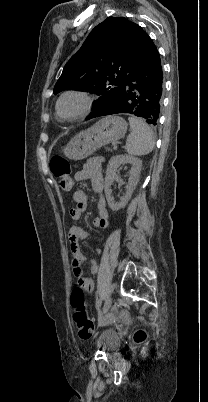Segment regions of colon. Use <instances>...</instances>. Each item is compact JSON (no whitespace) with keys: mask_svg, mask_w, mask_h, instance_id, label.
<instances>
[{"mask_svg":"<svg viewBox=\"0 0 208 402\" xmlns=\"http://www.w3.org/2000/svg\"><path fill=\"white\" fill-rule=\"evenodd\" d=\"M49 168L52 175L56 178L59 188L64 191H71L74 179L71 174L69 162L61 156H56L50 160ZM71 305L75 308L73 318L77 325L80 338H90L93 333V321L87 314L85 296L81 288H74L71 297ZM123 314H128V309H123ZM132 335L134 338H145L147 332L145 329H134Z\"/></svg>","mask_w":208,"mask_h":402,"instance_id":"1","label":"colon"}]
</instances>
